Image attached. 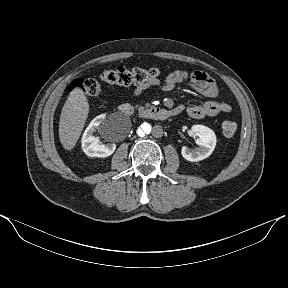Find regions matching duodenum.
Masks as SVG:
<instances>
[{"mask_svg":"<svg viewBox=\"0 0 288 288\" xmlns=\"http://www.w3.org/2000/svg\"><path fill=\"white\" fill-rule=\"evenodd\" d=\"M119 111L127 116H131L134 114V108L128 104L123 103L119 106ZM178 114L176 109H165L161 107H150L147 109H142L138 112V116L143 119H152V120H166L169 117L175 116Z\"/></svg>","mask_w":288,"mask_h":288,"instance_id":"410a0bca","label":"duodenum"}]
</instances>
